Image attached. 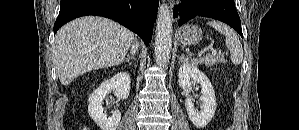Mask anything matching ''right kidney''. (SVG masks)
Segmentation results:
<instances>
[{"label": "right kidney", "mask_w": 299, "mask_h": 130, "mask_svg": "<svg viewBox=\"0 0 299 130\" xmlns=\"http://www.w3.org/2000/svg\"><path fill=\"white\" fill-rule=\"evenodd\" d=\"M115 92L118 99H127L130 92V76L126 72H120L112 78L105 80L89 96L88 113L101 130H116L121 120V113L115 109L112 116L107 117L103 113V99L111 91Z\"/></svg>", "instance_id": "ca27d5eb"}]
</instances>
